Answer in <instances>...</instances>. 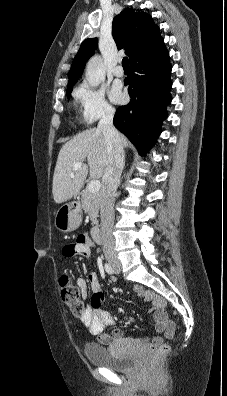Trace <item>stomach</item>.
<instances>
[{"label":"stomach","instance_id":"0dacf381","mask_svg":"<svg viewBox=\"0 0 227 396\" xmlns=\"http://www.w3.org/2000/svg\"><path fill=\"white\" fill-rule=\"evenodd\" d=\"M82 221L81 206L78 202L63 205L55 215V227L64 233L77 229Z\"/></svg>","mask_w":227,"mask_h":396}]
</instances>
